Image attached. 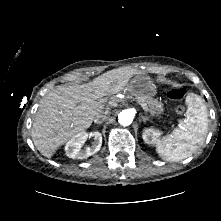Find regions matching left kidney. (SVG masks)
I'll return each instance as SVG.
<instances>
[{
    "instance_id": "obj_1",
    "label": "left kidney",
    "mask_w": 221,
    "mask_h": 221,
    "mask_svg": "<svg viewBox=\"0 0 221 221\" xmlns=\"http://www.w3.org/2000/svg\"><path fill=\"white\" fill-rule=\"evenodd\" d=\"M160 134V131L153 128H148L144 130L142 137L145 143L154 144L158 140Z\"/></svg>"
}]
</instances>
